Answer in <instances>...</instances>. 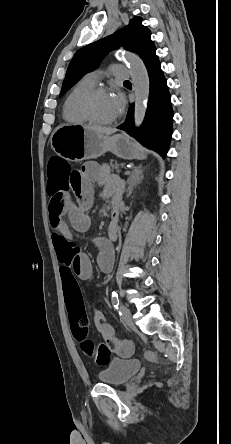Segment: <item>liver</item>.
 <instances>
[{
  "label": "liver",
  "instance_id": "obj_1",
  "mask_svg": "<svg viewBox=\"0 0 231 444\" xmlns=\"http://www.w3.org/2000/svg\"><path fill=\"white\" fill-rule=\"evenodd\" d=\"M85 128L96 132L99 135L109 136L115 132L113 128L99 127V126H84Z\"/></svg>",
  "mask_w": 231,
  "mask_h": 444
}]
</instances>
